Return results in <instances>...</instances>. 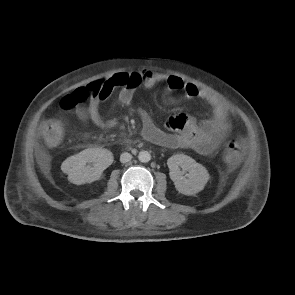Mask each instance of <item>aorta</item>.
<instances>
[{"mask_svg": "<svg viewBox=\"0 0 295 295\" xmlns=\"http://www.w3.org/2000/svg\"><path fill=\"white\" fill-rule=\"evenodd\" d=\"M138 159L140 162L147 163L151 160V155L148 151H141L138 154Z\"/></svg>", "mask_w": 295, "mask_h": 295, "instance_id": "762f6f07", "label": "aorta"}]
</instances>
